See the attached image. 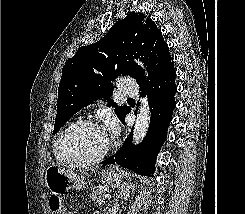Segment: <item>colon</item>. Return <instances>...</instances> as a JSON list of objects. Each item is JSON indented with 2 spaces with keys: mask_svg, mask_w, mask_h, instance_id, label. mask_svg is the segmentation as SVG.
Returning <instances> with one entry per match:
<instances>
[{
  "mask_svg": "<svg viewBox=\"0 0 245 214\" xmlns=\"http://www.w3.org/2000/svg\"><path fill=\"white\" fill-rule=\"evenodd\" d=\"M49 205H50L51 210L56 214H73L71 212H67L63 210L60 206V201L56 198L51 199L49 201Z\"/></svg>",
  "mask_w": 245,
  "mask_h": 214,
  "instance_id": "obj_1",
  "label": "colon"
}]
</instances>
